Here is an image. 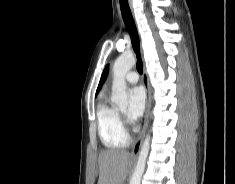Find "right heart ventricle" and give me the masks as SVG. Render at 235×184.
Masks as SVG:
<instances>
[{"instance_id":"right-heart-ventricle-1","label":"right heart ventricle","mask_w":235,"mask_h":184,"mask_svg":"<svg viewBox=\"0 0 235 184\" xmlns=\"http://www.w3.org/2000/svg\"><path fill=\"white\" fill-rule=\"evenodd\" d=\"M96 124L107 155L119 152L129 145L131 138L123 127L117 110L106 101L97 106Z\"/></svg>"}]
</instances>
